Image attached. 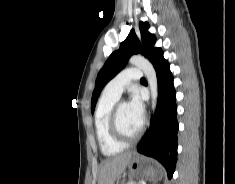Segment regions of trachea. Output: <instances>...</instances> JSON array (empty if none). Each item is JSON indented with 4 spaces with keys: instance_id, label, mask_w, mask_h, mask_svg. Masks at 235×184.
Instances as JSON below:
<instances>
[{
    "instance_id": "3493384b",
    "label": "trachea",
    "mask_w": 235,
    "mask_h": 184,
    "mask_svg": "<svg viewBox=\"0 0 235 184\" xmlns=\"http://www.w3.org/2000/svg\"><path fill=\"white\" fill-rule=\"evenodd\" d=\"M141 81H145V79H144V78H142V79H141Z\"/></svg>"
}]
</instances>
